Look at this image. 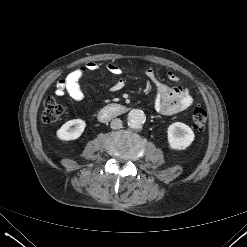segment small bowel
<instances>
[{"mask_svg":"<svg viewBox=\"0 0 247 247\" xmlns=\"http://www.w3.org/2000/svg\"><path fill=\"white\" fill-rule=\"evenodd\" d=\"M99 69V64L96 62H88L83 66H80L70 72L65 79L60 80L55 89L57 96H63L67 93L74 101H81L84 98V94L80 87V80L89 72H93ZM107 69L110 73L118 78L111 86L112 92H118L125 86V80L121 77V69L110 63L107 65ZM146 76L154 83L156 87V97L154 106L158 113L162 115H174L186 110L193 102V98L187 88L182 85L169 86L161 81L152 68L146 70ZM168 79L176 83L178 78L175 73L168 72Z\"/></svg>","mask_w":247,"mask_h":247,"instance_id":"c3829d8e","label":"small bowel"}]
</instances>
